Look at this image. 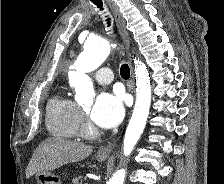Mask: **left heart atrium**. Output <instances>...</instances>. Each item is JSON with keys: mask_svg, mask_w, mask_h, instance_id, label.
I'll return each instance as SVG.
<instances>
[{"mask_svg": "<svg viewBox=\"0 0 224 184\" xmlns=\"http://www.w3.org/2000/svg\"><path fill=\"white\" fill-rule=\"evenodd\" d=\"M124 116L122 97L118 93H101L90 112L92 121L102 128L117 126Z\"/></svg>", "mask_w": 224, "mask_h": 184, "instance_id": "left-heart-atrium-1", "label": "left heart atrium"}]
</instances>
